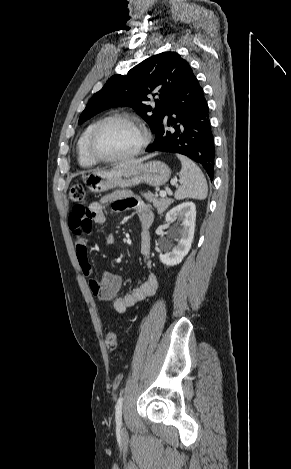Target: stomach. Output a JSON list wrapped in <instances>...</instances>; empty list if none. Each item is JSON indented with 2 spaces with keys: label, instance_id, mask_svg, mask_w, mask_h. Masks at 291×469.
Instances as JSON below:
<instances>
[{
  "label": "stomach",
  "instance_id": "0dacf381",
  "mask_svg": "<svg viewBox=\"0 0 291 469\" xmlns=\"http://www.w3.org/2000/svg\"><path fill=\"white\" fill-rule=\"evenodd\" d=\"M170 175L171 171L167 164L153 160L91 172L83 177V181L91 192L101 193L113 188L133 187L140 183L161 186L169 180Z\"/></svg>",
  "mask_w": 291,
  "mask_h": 469
}]
</instances>
